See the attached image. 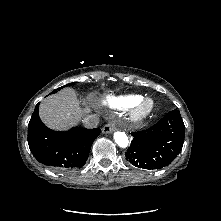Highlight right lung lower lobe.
Segmentation results:
<instances>
[{
	"label": "right lung lower lobe",
	"instance_id": "right-lung-lower-lobe-1",
	"mask_svg": "<svg viewBox=\"0 0 221 221\" xmlns=\"http://www.w3.org/2000/svg\"><path fill=\"white\" fill-rule=\"evenodd\" d=\"M38 108L39 103L28 124V144L34 157L55 170L68 171L82 167L101 130L74 127L66 132L53 131L40 120Z\"/></svg>",
	"mask_w": 221,
	"mask_h": 221
}]
</instances>
